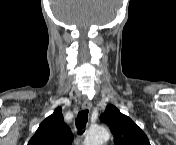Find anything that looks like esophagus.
Listing matches in <instances>:
<instances>
[{
    "instance_id": "34e87169",
    "label": "esophagus",
    "mask_w": 176,
    "mask_h": 145,
    "mask_svg": "<svg viewBox=\"0 0 176 145\" xmlns=\"http://www.w3.org/2000/svg\"><path fill=\"white\" fill-rule=\"evenodd\" d=\"M91 106H92V104H91V101H90V100H84V101H83L82 108H83L84 110H86V109L90 110V109H91Z\"/></svg>"
}]
</instances>
